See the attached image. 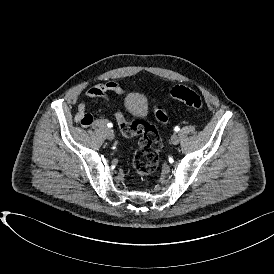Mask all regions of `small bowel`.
<instances>
[{"label":"small bowel","instance_id":"c3829d8e","mask_svg":"<svg viewBox=\"0 0 274 274\" xmlns=\"http://www.w3.org/2000/svg\"><path fill=\"white\" fill-rule=\"evenodd\" d=\"M125 92L126 89L119 83L108 81L94 84L85 92V97L88 100L107 102L108 93L124 94ZM74 119L76 123L84 128L89 127L93 123V116L87 112L86 102L78 104Z\"/></svg>","mask_w":274,"mask_h":274}]
</instances>
